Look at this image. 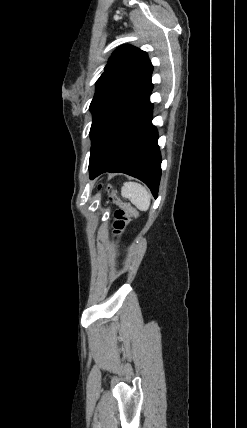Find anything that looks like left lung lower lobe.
<instances>
[{
    "label": "left lung lower lobe",
    "mask_w": 247,
    "mask_h": 428,
    "mask_svg": "<svg viewBox=\"0 0 247 428\" xmlns=\"http://www.w3.org/2000/svg\"><path fill=\"white\" fill-rule=\"evenodd\" d=\"M152 85L116 111L98 133L90 154V178L122 172L143 181L157 198L161 177L158 134L152 125Z\"/></svg>",
    "instance_id": "1"
}]
</instances>
